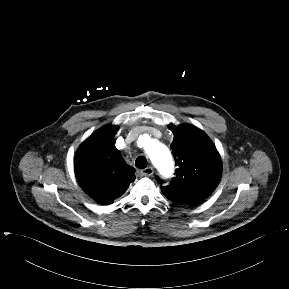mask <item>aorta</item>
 I'll list each match as a JSON object with an SVG mask.
<instances>
[{
  "instance_id": "1",
  "label": "aorta",
  "mask_w": 289,
  "mask_h": 289,
  "mask_svg": "<svg viewBox=\"0 0 289 289\" xmlns=\"http://www.w3.org/2000/svg\"><path fill=\"white\" fill-rule=\"evenodd\" d=\"M145 151L152 164L160 171L172 169L173 161L168 148L154 140H148L145 144Z\"/></svg>"
}]
</instances>
